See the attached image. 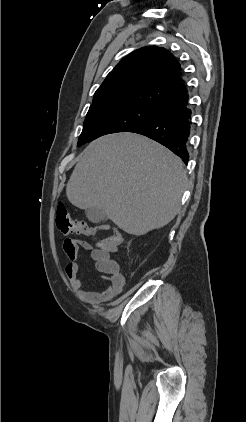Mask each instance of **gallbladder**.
Returning a JSON list of instances; mask_svg holds the SVG:
<instances>
[{
	"mask_svg": "<svg viewBox=\"0 0 246 422\" xmlns=\"http://www.w3.org/2000/svg\"><path fill=\"white\" fill-rule=\"evenodd\" d=\"M87 218L93 223H100L107 219L105 212L101 208H89L86 210Z\"/></svg>",
	"mask_w": 246,
	"mask_h": 422,
	"instance_id": "obj_1",
	"label": "gallbladder"
}]
</instances>
